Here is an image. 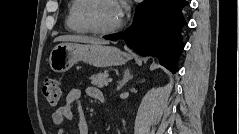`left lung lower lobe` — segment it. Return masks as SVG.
<instances>
[{
	"instance_id": "obj_1",
	"label": "left lung lower lobe",
	"mask_w": 239,
	"mask_h": 134,
	"mask_svg": "<svg viewBox=\"0 0 239 134\" xmlns=\"http://www.w3.org/2000/svg\"><path fill=\"white\" fill-rule=\"evenodd\" d=\"M185 0H146L136 9L133 24L124 32L105 36L123 39L142 56H155L161 65L176 73V61L183 49L181 28L186 24L182 8Z\"/></svg>"
}]
</instances>
